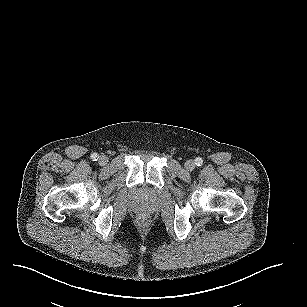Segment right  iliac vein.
<instances>
[{
  "label": "right iliac vein",
  "mask_w": 307,
  "mask_h": 307,
  "mask_svg": "<svg viewBox=\"0 0 307 307\" xmlns=\"http://www.w3.org/2000/svg\"><path fill=\"white\" fill-rule=\"evenodd\" d=\"M107 162H108V157H107L106 155H101V156L99 157L98 164H99L100 166L106 165Z\"/></svg>",
  "instance_id": "right-iliac-vein-1"
}]
</instances>
